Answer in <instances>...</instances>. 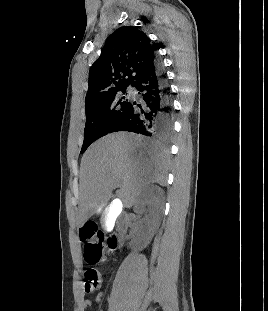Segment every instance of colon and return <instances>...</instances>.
Wrapping results in <instances>:
<instances>
[{
  "label": "colon",
  "mask_w": 268,
  "mask_h": 311,
  "mask_svg": "<svg viewBox=\"0 0 268 311\" xmlns=\"http://www.w3.org/2000/svg\"><path fill=\"white\" fill-rule=\"evenodd\" d=\"M84 260L88 264H98L104 260L105 254L111 253L103 245V237L95 223H86L80 230ZM86 292H93L100 286L99 273L94 269L85 271Z\"/></svg>",
  "instance_id": "colon-1"
}]
</instances>
